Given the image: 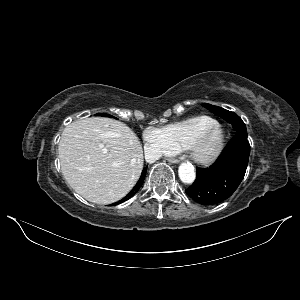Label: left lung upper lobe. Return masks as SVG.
<instances>
[{
  "label": "left lung upper lobe",
  "mask_w": 300,
  "mask_h": 300,
  "mask_svg": "<svg viewBox=\"0 0 300 300\" xmlns=\"http://www.w3.org/2000/svg\"><path fill=\"white\" fill-rule=\"evenodd\" d=\"M203 106L219 117L225 119L227 122L231 123L233 128L237 131L236 135L247 137V129L244 122L234 112L210 104H203Z\"/></svg>",
  "instance_id": "5c2ea615"
}]
</instances>
